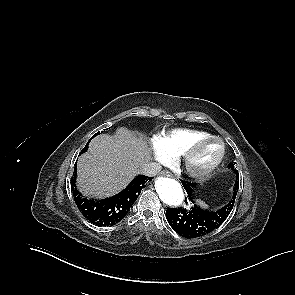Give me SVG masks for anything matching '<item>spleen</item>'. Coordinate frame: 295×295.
<instances>
[{
	"mask_svg": "<svg viewBox=\"0 0 295 295\" xmlns=\"http://www.w3.org/2000/svg\"><path fill=\"white\" fill-rule=\"evenodd\" d=\"M199 203L205 207H207V205L203 202V201H199Z\"/></svg>",
	"mask_w": 295,
	"mask_h": 295,
	"instance_id": "obj_1",
	"label": "spleen"
}]
</instances>
